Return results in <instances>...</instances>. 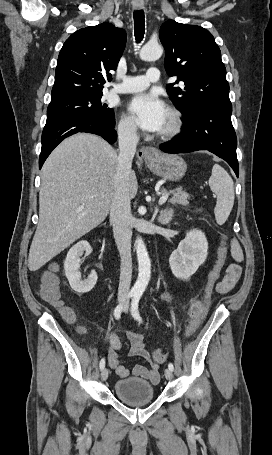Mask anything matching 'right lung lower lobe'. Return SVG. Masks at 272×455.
Wrapping results in <instances>:
<instances>
[{
    "mask_svg": "<svg viewBox=\"0 0 272 455\" xmlns=\"http://www.w3.org/2000/svg\"><path fill=\"white\" fill-rule=\"evenodd\" d=\"M114 127L115 119L106 121L93 116H67L46 121L41 138L39 169L52 150L66 137L78 132H86L99 135L112 144L117 138Z\"/></svg>",
    "mask_w": 272,
    "mask_h": 455,
    "instance_id": "98d812e1",
    "label": "right lung lower lobe"
}]
</instances>
